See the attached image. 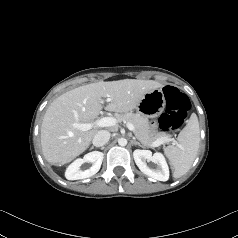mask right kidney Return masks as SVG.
<instances>
[{"mask_svg":"<svg viewBox=\"0 0 238 238\" xmlns=\"http://www.w3.org/2000/svg\"><path fill=\"white\" fill-rule=\"evenodd\" d=\"M104 154L99 151H93L88 154H86L83 159L79 158L76 159L73 163H71L65 172V177L68 180H79V179H85L93 176L96 174L101 167L102 161H103ZM90 162L92 163V166L90 169L87 170H80V167L83 163Z\"/></svg>","mask_w":238,"mask_h":238,"instance_id":"right-kidney-1","label":"right kidney"}]
</instances>
